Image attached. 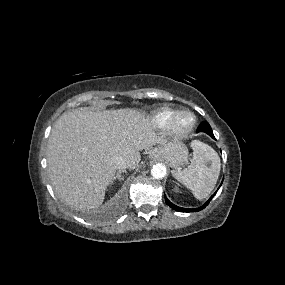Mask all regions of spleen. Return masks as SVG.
I'll return each mask as SVG.
<instances>
[{"label":"spleen","instance_id":"obj_1","mask_svg":"<svg viewBox=\"0 0 285 285\" xmlns=\"http://www.w3.org/2000/svg\"><path fill=\"white\" fill-rule=\"evenodd\" d=\"M193 158L187 168L173 171V176L188 189L196 199L206 198L214 189L220 174V158L209 145L193 141Z\"/></svg>","mask_w":285,"mask_h":285}]
</instances>
